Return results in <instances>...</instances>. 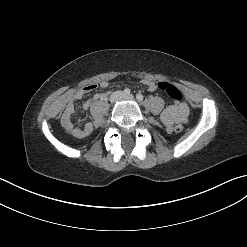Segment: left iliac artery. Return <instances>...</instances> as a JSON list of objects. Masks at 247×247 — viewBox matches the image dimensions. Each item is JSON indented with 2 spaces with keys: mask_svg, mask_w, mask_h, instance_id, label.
<instances>
[{
  "mask_svg": "<svg viewBox=\"0 0 247 247\" xmlns=\"http://www.w3.org/2000/svg\"><path fill=\"white\" fill-rule=\"evenodd\" d=\"M136 98L138 101H142L143 100V95L142 94H137Z\"/></svg>",
  "mask_w": 247,
  "mask_h": 247,
  "instance_id": "obj_1",
  "label": "left iliac artery"
}]
</instances>
